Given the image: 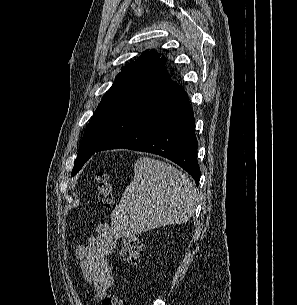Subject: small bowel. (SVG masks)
<instances>
[{"instance_id": "small-bowel-1", "label": "small bowel", "mask_w": 297, "mask_h": 305, "mask_svg": "<svg viewBox=\"0 0 297 305\" xmlns=\"http://www.w3.org/2000/svg\"><path fill=\"white\" fill-rule=\"evenodd\" d=\"M118 241L116 233L106 223L97 227L96 234L75 250L80 268L93 292L95 303L101 302L115 286L116 277L110 267V255Z\"/></svg>"}]
</instances>
